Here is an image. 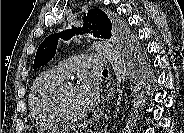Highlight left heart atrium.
<instances>
[{
	"instance_id": "39dd6f15",
	"label": "left heart atrium",
	"mask_w": 184,
	"mask_h": 133,
	"mask_svg": "<svg viewBox=\"0 0 184 133\" xmlns=\"http://www.w3.org/2000/svg\"><path fill=\"white\" fill-rule=\"evenodd\" d=\"M76 93L85 110H90L96 106L98 102V90L91 80L86 79L82 81L76 88Z\"/></svg>"
}]
</instances>
